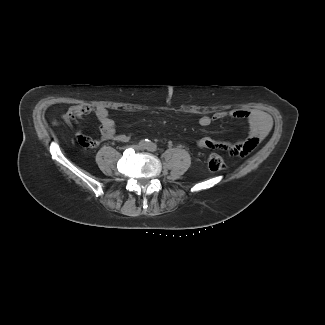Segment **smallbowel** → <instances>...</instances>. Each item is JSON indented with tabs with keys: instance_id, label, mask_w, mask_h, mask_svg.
Returning a JSON list of instances; mask_svg holds the SVG:
<instances>
[{
	"instance_id": "c3829d8e",
	"label": "small bowel",
	"mask_w": 325,
	"mask_h": 325,
	"mask_svg": "<svg viewBox=\"0 0 325 325\" xmlns=\"http://www.w3.org/2000/svg\"><path fill=\"white\" fill-rule=\"evenodd\" d=\"M90 113H94L100 123V138L92 139L84 135L81 131L77 132L79 144L85 148H95L105 140H115L118 142H127L130 139L129 134L117 133L114 120L110 117L109 111L104 106L93 107L91 105H74L69 108L65 114L67 122L72 125L77 120ZM230 116L232 118L245 119L249 124L247 137L237 143L221 142L210 136H205L199 140V146L204 149H220L233 156H244L249 154L257 144L266 136L272 126L270 116L260 110H234L229 114L219 112L214 115H202L199 117L201 126H208L213 121H218Z\"/></svg>"
}]
</instances>
